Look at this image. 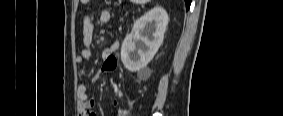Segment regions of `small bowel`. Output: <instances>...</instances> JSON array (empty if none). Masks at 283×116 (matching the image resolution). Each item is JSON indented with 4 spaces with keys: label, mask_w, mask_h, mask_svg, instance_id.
I'll return each instance as SVG.
<instances>
[{
    "label": "small bowel",
    "mask_w": 283,
    "mask_h": 116,
    "mask_svg": "<svg viewBox=\"0 0 283 116\" xmlns=\"http://www.w3.org/2000/svg\"><path fill=\"white\" fill-rule=\"evenodd\" d=\"M85 5H89L91 1L82 0ZM110 20V12L108 10H101L99 13L100 23H108ZM94 33V24L91 14H87L83 21V30L81 37L82 49L80 54L77 56L76 61L78 64H83L89 61L93 56L92 49V38ZM119 48V42L115 41L110 46H108L102 54L104 63L101 67L103 72L112 71L116 66V58L112 54L116 52ZM77 96L79 99V110L80 114L83 116H95L92 112V108L96 105L95 97H90L87 92V88L84 85H80L77 89ZM112 104L116 106L118 104L117 100H113ZM117 116H127L129 111L127 109H118L116 111Z\"/></svg>",
    "instance_id": "obj_1"
}]
</instances>
